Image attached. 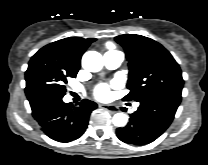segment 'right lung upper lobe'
Segmentation results:
<instances>
[{
	"label": "right lung upper lobe",
	"mask_w": 208,
	"mask_h": 165,
	"mask_svg": "<svg viewBox=\"0 0 208 165\" xmlns=\"http://www.w3.org/2000/svg\"><path fill=\"white\" fill-rule=\"evenodd\" d=\"M95 40L94 38L70 37L50 43L43 48L59 53L65 60L80 67L82 54Z\"/></svg>",
	"instance_id": "right-lung-upper-lobe-1"
}]
</instances>
